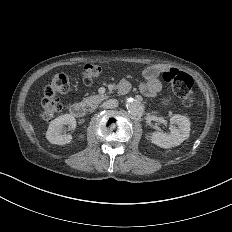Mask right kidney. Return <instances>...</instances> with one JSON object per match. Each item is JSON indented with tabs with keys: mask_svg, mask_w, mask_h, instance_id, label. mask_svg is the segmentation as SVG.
<instances>
[{
	"mask_svg": "<svg viewBox=\"0 0 232 232\" xmlns=\"http://www.w3.org/2000/svg\"><path fill=\"white\" fill-rule=\"evenodd\" d=\"M65 125H68V130H74L76 128L75 118L70 114H65L51 121L46 132L47 140L57 145L70 143L72 135L66 133Z\"/></svg>",
	"mask_w": 232,
	"mask_h": 232,
	"instance_id": "right-kidney-1",
	"label": "right kidney"
}]
</instances>
